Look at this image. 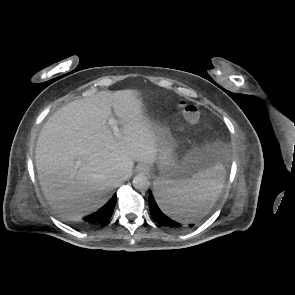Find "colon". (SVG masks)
Masks as SVG:
<instances>
[{
	"instance_id": "5ec220e1",
	"label": "colon",
	"mask_w": 295,
	"mask_h": 295,
	"mask_svg": "<svg viewBox=\"0 0 295 295\" xmlns=\"http://www.w3.org/2000/svg\"><path fill=\"white\" fill-rule=\"evenodd\" d=\"M178 106L189 123H197L200 120V111L194 104L181 101Z\"/></svg>"
}]
</instances>
